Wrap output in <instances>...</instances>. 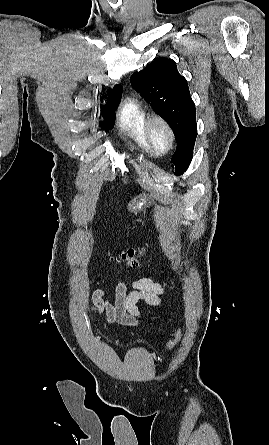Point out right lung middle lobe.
Here are the masks:
<instances>
[{"label": "right lung middle lobe", "instance_id": "1", "mask_svg": "<svg viewBox=\"0 0 269 445\" xmlns=\"http://www.w3.org/2000/svg\"><path fill=\"white\" fill-rule=\"evenodd\" d=\"M119 102L120 101L109 108H101V112L104 117V122H102L101 125L105 128L106 131L111 129L113 126L114 110L117 108Z\"/></svg>", "mask_w": 269, "mask_h": 445}]
</instances>
